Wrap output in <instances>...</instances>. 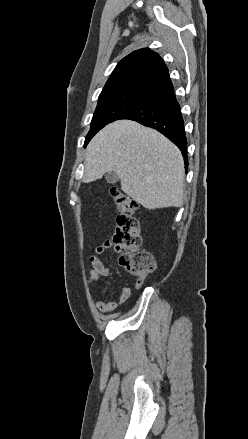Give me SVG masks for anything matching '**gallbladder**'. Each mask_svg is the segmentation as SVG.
<instances>
[{
  "label": "gallbladder",
  "instance_id": "1",
  "mask_svg": "<svg viewBox=\"0 0 248 439\" xmlns=\"http://www.w3.org/2000/svg\"><path fill=\"white\" fill-rule=\"evenodd\" d=\"M105 178H106V181L110 184H115L119 180V177L115 172L107 173Z\"/></svg>",
  "mask_w": 248,
  "mask_h": 439
}]
</instances>
